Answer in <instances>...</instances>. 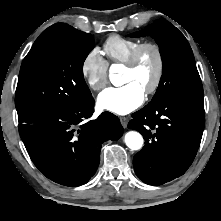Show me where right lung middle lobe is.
I'll return each mask as SVG.
<instances>
[{
    "instance_id": "right-lung-middle-lobe-1",
    "label": "right lung middle lobe",
    "mask_w": 221,
    "mask_h": 221,
    "mask_svg": "<svg viewBox=\"0 0 221 221\" xmlns=\"http://www.w3.org/2000/svg\"><path fill=\"white\" fill-rule=\"evenodd\" d=\"M94 48L91 34L56 36L33 44L24 58L16 89L19 122L40 114L80 106L92 95L83 77V63Z\"/></svg>"
}]
</instances>
